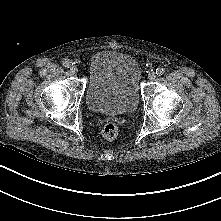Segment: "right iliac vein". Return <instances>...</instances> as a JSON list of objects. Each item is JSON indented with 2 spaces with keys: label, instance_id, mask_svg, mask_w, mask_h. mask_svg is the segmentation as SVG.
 <instances>
[{
  "label": "right iliac vein",
  "instance_id": "63e3f726",
  "mask_svg": "<svg viewBox=\"0 0 221 221\" xmlns=\"http://www.w3.org/2000/svg\"><path fill=\"white\" fill-rule=\"evenodd\" d=\"M70 72L73 73V74H76L78 72V68L75 65H72L70 67Z\"/></svg>",
  "mask_w": 221,
  "mask_h": 221
}]
</instances>
